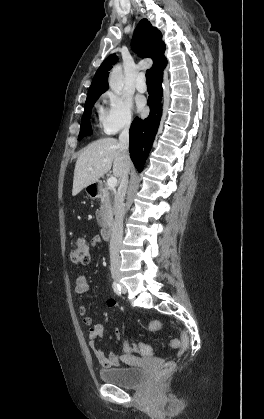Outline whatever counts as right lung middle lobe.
Listing matches in <instances>:
<instances>
[{"mask_svg": "<svg viewBox=\"0 0 264 419\" xmlns=\"http://www.w3.org/2000/svg\"><path fill=\"white\" fill-rule=\"evenodd\" d=\"M100 95L93 96L86 100L85 102V110L82 117V123L80 128V133L78 140H81L84 136L92 134L91 130V124H90V116H91V110L95 103V101L98 99Z\"/></svg>", "mask_w": 264, "mask_h": 419, "instance_id": "1", "label": "right lung middle lobe"}]
</instances>
